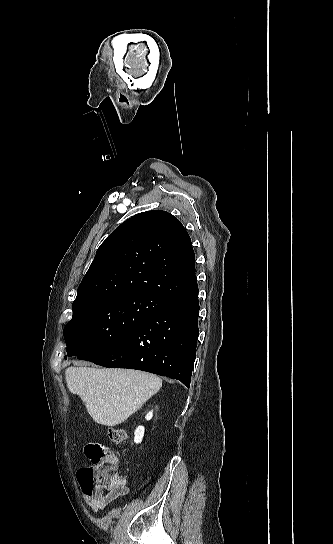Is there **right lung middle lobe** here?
Listing matches in <instances>:
<instances>
[{
	"label": "right lung middle lobe",
	"mask_w": 333,
	"mask_h": 544,
	"mask_svg": "<svg viewBox=\"0 0 333 544\" xmlns=\"http://www.w3.org/2000/svg\"><path fill=\"white\" fill-rule=\"evenodd\" d=\"M165 302L150 294L128 293L73 303L72 319L63 330L68 356L82 359L133 332Z\"/></svg>",
	"instance_id": "obj_1"
}]
</instances>
